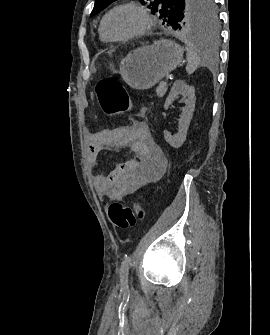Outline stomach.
Instances as JSON below:
<instances>
[{
    "mask_svg": "<svg viewBox=\"0 0 270 335\" xmlns=\"http://www.w3.org/2000/svg\"><path fill=\"white\" fill-rule=\"evenodd\" d=\"M183 58V48L174 40L160 38L151 46L135 48L122 58L120 74L134 90H148L175 70Z\"/></svg>",
    "mask_w": 270,
    "mask_h": 335,
    "instance_id": "obj_1",
    "label": "stomach"
}]
</instances>
